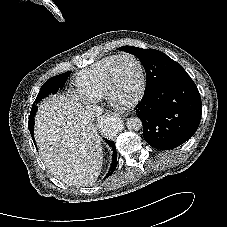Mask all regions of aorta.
Instances as JSON below:
<instances>
[{
  "label": "aorta",
  "instance_id": "aorta-1",
  "mask_svg": "<svg viewBox=\"0 0 227 227\" xmlns=\"http://www.w3.org/2000/svg\"><path fill=\"white\" fill-rule=\"evenodd\" d=\"M119 119L117 117H108L104 121V130L107 134L112 135L118 131ZM126 126L130 131H139L142 128V121L138 117H130Z\"/></svg>",
  "mask_w": 227,
  "mask_h": 227
}]
</instances>
